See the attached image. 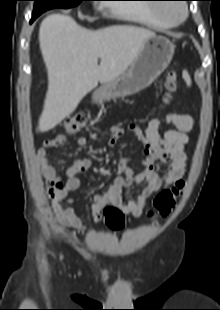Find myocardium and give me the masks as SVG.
<instances>
[{"mask_svg": "<svg viewBox=\"0 0 220 310\" xmlns=\"http://www.w3.org/2000/svg\"><path fill=\"white\" fill-rule=\"evenodd\" d=\"M169 5L179 7V9H180L179 15H177L175 17L167 15L165 13V8H166V6H169ZM157 15L159 17H161L162 19L172 23L173 25H176V24L183 22L186 19L187 15H188V9H187V6L185 4H167V5L165 4V5H160L159 7H157Z\"/></svg>", "mask_w": 220, "mask_h": 310, "instance_id": "1", "label": "myocardium"}]
</instances>
